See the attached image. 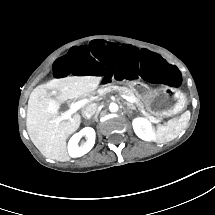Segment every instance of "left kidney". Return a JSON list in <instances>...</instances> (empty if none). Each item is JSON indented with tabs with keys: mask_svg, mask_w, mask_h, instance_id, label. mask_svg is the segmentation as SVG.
Returning <instances> with one entry per match:
<instances>
[{
	"mask_svg": "<svg viewBox=\"0 0 215 215\" xmlns=\"http://www.w3.org/2000/svg\"><path fill=\"white\" fill-rule=\"evenodd\" d=\"M133 129L136 135L144 141L155 139L152 123L144 117H136L132 121Z\"/></svg>",
	"mask_w": 215,
	"mask_h": 215,
	"instance_id": "left-kidney-1",
	"label": "left kidney"
}]
</instances>
